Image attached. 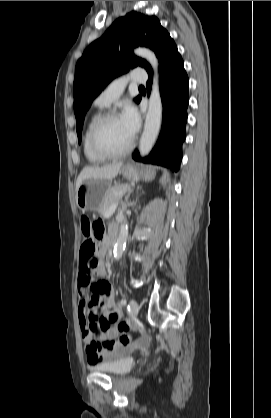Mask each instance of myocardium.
I'll list each match as a JSON object with an SVG mask.
<instances>
[{
  "label": "myocardium",
  "instance_id": "1",
  "mask_svg": "<svg viewBox=\"0 0 271 418\" xmlns=\"http://www.w3.org/2000/svg\"><path fill=\"white\" fill-rule=\"evenodd\" d=\"M119 118V115L116 112L110 111V112H106L104 114H102L97 121L94 123L91 132H90V136H89V142H90V146L92 148V150L99 156L105 158V159H114V158H120L123 157L125 155H127L128 153L131 152L133 146H134V141L131 140L130 143L121 151H117V152H113V151H109L106 148H104L100 142H99V134L102 130V128L104 127V125L112 120V119H116Z\"/></svg>",
  "mask_w": 271,
  "mask_h": 418
}]
</instances>
